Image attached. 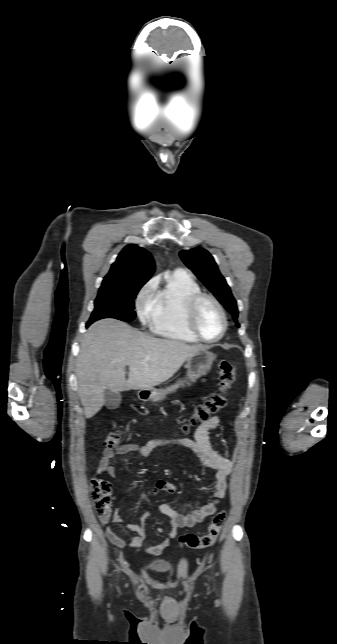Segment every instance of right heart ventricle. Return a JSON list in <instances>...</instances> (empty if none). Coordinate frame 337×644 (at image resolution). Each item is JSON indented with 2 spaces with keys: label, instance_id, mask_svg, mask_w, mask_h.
Instances as JSON below:
<instances>
[{
  "label": "right heart ventricle",
  "instance_id": "obj_1",
  "mask_svg": "<svg viewBox=\"0 0 337 644\" xmlns=\"http://www.w3.org/2000/svg\"><path fill=\"white\" fill-rule=\"evenodd\" d=\"M199 292V284L189 273L176 270L170 274L154 298L150 318L152 331L170 340L197 343L199 340L186 324V309L190 298Z\"/></svg>",
  "mask_w": 337,
  "mask_h": 644
}]
</instances>
